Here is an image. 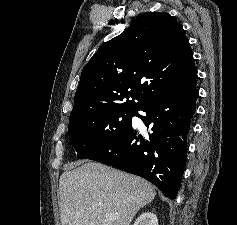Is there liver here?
Returning a JSON list of instances; mask_svg holds the SVG:
<instances>
[{
	"label": "liver",
	"mask_w": 237,
	"mask_h": 225,
	"mask_svg": "<svg viewBox=\"0 0 237 225\" xmlns=\"http://www.w3.org/2000/svg\"><path fill=\"white\" fill-rule=\"evenodd\" d=\"M59 195L62 225H130L156 192L142 178L87 162L61 175Z\"/></svg>",
	"instance_id": "obj_1"
}]
</instances>
